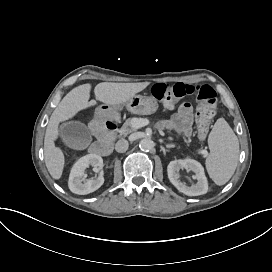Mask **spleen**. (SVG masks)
I'll list each match as a JSON object with an SVG mask.
<instances>
[{
	"label": "spleen",
	"instance_id": "spleen-1",
	"mask_svg": "<svg viewBox=\"0 0 272 272\" xmlns=\"http://www.w3.org/2000/svg\"><path fill=\"white\" fill-rule=\"evenodd\" d=\"M210 155L206 169L216 185H224L233 176L239 158V141L224 118L217 119L208 136Z\"/></svg>",
	"mask_w": 272,
	"mask_h": 272
}]
</instances>
